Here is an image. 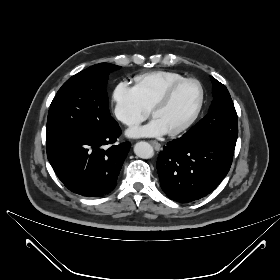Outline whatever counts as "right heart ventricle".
I'll return each instance as SVG.
<instances>
[{"mask_svg": "<svg viewBox=\"0 0 280 280\" xmlns=\"http://www.w3.org/2000/svg\"><path fill=\"white\" fill-rule=\"evenodd\" d=\"M183 78V75L172 71L146 72L134 77V87L143 103L151 108L170 84Z\"/></svg>", "mask_w": 280, "mask_h": 280, "instance_id": "1", "label": "right heart ventricle"}]
</instances>
